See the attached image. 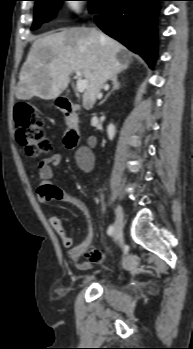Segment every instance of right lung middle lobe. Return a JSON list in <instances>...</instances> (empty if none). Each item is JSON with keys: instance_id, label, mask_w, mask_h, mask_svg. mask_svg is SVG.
Returning a JSON list of instances; mask_svg holds the SVG:
<instances>
[{"instance_id": "dd1d6c3e", "label": "right lung middle lobe", "mask_w": 193, "mask_h": 349, "mask_svg": "<svg viewBox=\"0 0 193 349\" xmlns=\"http://www.w3.org/2000/svg\"><path fill=\"white\" fill-rule=\"evenodd\" d=\"M34 22L32 30L38 28L40 24L53 19L58 8L66 0H35ZM89 2V11L91 12L99 0H84Z\"/></svg>"}]
</instances>
